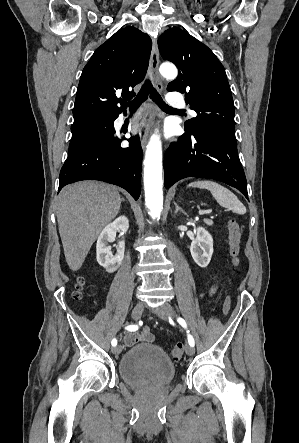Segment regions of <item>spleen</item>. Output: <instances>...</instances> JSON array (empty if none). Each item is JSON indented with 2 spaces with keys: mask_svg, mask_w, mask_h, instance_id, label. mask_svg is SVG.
Here are the masks:
<instances>
[{
  "mask_svg": "<svg viewBox=\"0 0 299 443\" xmlns=\"http://www.w3.org/2000/svg\"><path fill=\"white\" fill-rule=\"evenodd\" d=\"M188 187L207 189L211 192L214 199L223 207L228 208L234 213L245 214L246 208L240 202L235 194L222 185L209 180H200L192 182Z\"/></svg>",
  "mask_w": 299,
  "mask_h": 443,
  "instance_id": "1",
  "label": "spleen"
}]
</instances>
